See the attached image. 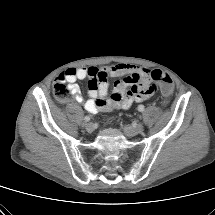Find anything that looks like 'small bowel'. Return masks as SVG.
<instances>
[{
  "instance_id": "1",
  "label": "small bowel",
  "mask_w": 215,
  "mask_h": 215,
  "mask_svg": "<svg viewBox=\"0 0 215 215\" xmlns=\"http://www.w3.org/2000/svg\"><path fill=\"white\" fill-rule=\"evenodd\" d=\"M123 77L114 84L113 93L108 97V78ZM89 78V99H84L78 80ZM58 79L67 82L74 100L84 106L86 111L96 114L100 111L127 109L133 103L142 102L153 94H145L150 85V71L129 63H119L107 67L68 68ZM136 88V90H135Z\"/></svg>"
}]
</instances>
